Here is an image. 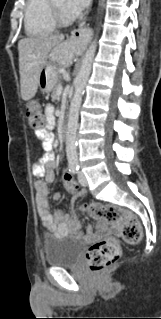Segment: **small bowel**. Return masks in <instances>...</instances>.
I'll return each mask as SVG.
<instances>
[{
  "label": "small bowel",
  "mask_w": 161,
  "mask_h": 319,
  "mask_svg": "<svg viewBox=\"0 0 161 319\" xmlns=\"http://www.w3.org/2000/svg\"><path fill=\"white\" fill-rule=\"evenodd\" d=\"M45 117L47 123L45 130H35L34 135L36 139L41 142L42 149L50 151L56 147V143L54 142L52 133V129L55 123L53 106L48 105L46 107ZM46 144H51L52 148L46 149ZM55 167L56 164L54 162L53 156L48 154L39 157L33 164L32 173L35 177L38 178L34 183L38 214L43 226L48 231L55 232L58 235H64L68 232H78L80 230V223L77 220H73L69 213H66L63 210H58L54 215L51 213L48 200V183L52 182L54 179ZM43 177L45 178V180L42 179ZM63 183L71 190H74L76 187L74 179L68 174H64ZM70 184L73 185L74 188H70ZM84 193L85 190L81 189L76 193V195L81 196ZM53 198L55 201H61L63 199V195L61 193H55L53 195ZM97 228L99 231V234L97 235L98 237L108 231H118V228L116 226H108L103 220H100L98 222ZM87 235L89 237L93 236L91 228L87 229Z\"/></svg>",
  "instance_id": "obj_1"
}]
</instances>
